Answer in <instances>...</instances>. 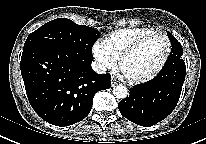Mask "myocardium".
Returning a JSON list of instances; mask_svg holds the SVG:
<instances>
[{
  "label": "myocardium",
  "mask_w": 206,
  "mask_h": 144,
  "mask_svg": "<svg viewBox=\"0 0 206 144\" xmlns=\"http://www.w3.org/2000/svg\"><path fill=\"white\" fill-rule=\"evenodd\" d=\"M155 37H161L166 42L167 48H166V53H165L163 60L161 61L159 66L151 74H149L147 76H144L141 78H130V77L125 75L126 79L131 84H145V83L153 81L161 74V72L164 70L165 66L167 65L169 58H170V55H171V52H172L171 40L169 39V37L166 34L161 33V32H155V33L149 34V35L139 39L138 41L133 43L131 46H129L127 49H125L119 57V68L122 70V66H123V63L125 62V60L127 58H129L130 56H132L134 53H136L145 43H147L149 40H151Z\"/></svg>",
  "instance_id": "f54148a6"
}]
</instances>
